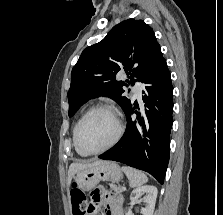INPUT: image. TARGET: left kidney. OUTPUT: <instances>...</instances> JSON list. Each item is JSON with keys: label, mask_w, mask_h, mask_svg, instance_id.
<instances>
[{"label": "left kidney", "mask_w": 223, "mask_h": 215, "mask_svg": "<svg viewBox=\"0 0 223 215\" xmlns=\"http://www.w3.org/2000/svg\"><path fill=\"white\" fill-rule=\"evenodd\" d=\"M144 191L147 193L146 197H143L144 201H146V207H142L141 213H143V215H153L157 197V187H155V185H141V187H136V189H133L130 199L131 201H136ZM126 215H132L131 209H129Z\"/></svg>", "instance_id": "1"}]
</instances>
